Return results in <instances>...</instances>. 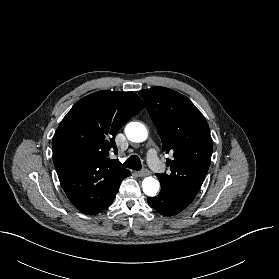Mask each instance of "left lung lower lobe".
<instances>
[{
	"label": "left lung lower lobe",
	"mask_w": 279,
	"mask_h": 279,
	"mask_svg": "<svg viewBox=\"0 0 279 279\" xmlns=\"http://www.w3.org/2000/svg\"><path fill=\"white\" fill-rule=\"evenodd\" d=\"M192 195L180 194L161 186L157 197H148V204L165 216L175 215L184 210L194 199Z\"/></svg>",
	"instance_id": "obj_1"
}]
</instances>
